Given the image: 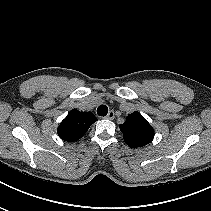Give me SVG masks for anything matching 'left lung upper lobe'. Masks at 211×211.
Returning <instances> with one entry per match:
<instances>
[{
    "mask_svg": "<svg viewBox=\"0 0 211 211\" xmlns=\"http://www.w3.org/2000/svg\"><path fill=\"white\" fill-rule=\"evenodd\" d=\"M119 128L123 133L124 141L132 148L145 146L154 137V129L139 112L128 115L126 121Z\"/></svg>",
    "mask_w": 211,
    "mask_h": 211,
    "instance_id": "5c2ea615",
    "label": "left lung upper lobe"
}]
</instances>
